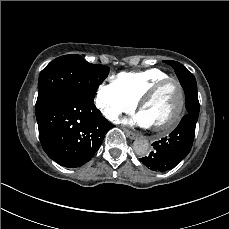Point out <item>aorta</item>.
<instances>
[{"label":"aorta","instance_id":"obj_1","mask_svg":"<svg viewBox=\"0 0 229 229\" xmlns=\"http://www.w3.org/2000/svg\"><path fill=\"white\" fill-rule=\"evenodd\" d=\"M133 149L137 155L144 156L149 152V142L145 139H136L133 143Z\"/></svg>","mask_w":229,"mask_h":229}]
</instances>
